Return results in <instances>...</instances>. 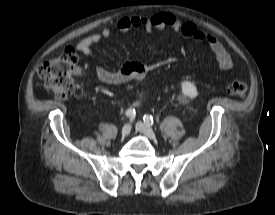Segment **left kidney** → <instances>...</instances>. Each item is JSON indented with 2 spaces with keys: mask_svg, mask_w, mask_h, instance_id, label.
<instances>
[{
  "mask_svg": "<svg viewBox=\"0 0 275 215\" xmlns=\"http://www.w3.org/2000/svg\"><path fill=\"white\" fill-rule=\"evenodd\" d=\"M182 92L184 95L190 98H195L198 95V91L195 84L190 81L182 82Z\"/></svg>",
  "mask_w": 275,
  "mask_h": 215,
  "instance_id": "1",
  "label": "left kidney"
}]
</instances>
